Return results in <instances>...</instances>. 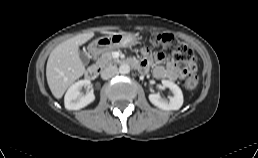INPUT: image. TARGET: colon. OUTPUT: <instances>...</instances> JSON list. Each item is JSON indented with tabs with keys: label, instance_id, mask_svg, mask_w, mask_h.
I'll use <instances>...</instances> for the list:
<instances>
[{
	"label": "colon",
	"instance_id": "5ec220e1",
	"mask_svg": "<svg viewBox=\"0 0 258 158\" xmlns=\"http://www.w3.org/2000/svg\"><path fill=\"white\" fill-rule=\"evenodd\" d=\"M148 40L155 50H167L170 52L176 63L182 67L191 66L196 61L195 54L191 47L170 35H150ZM198 82V77L194 72H187L181 77V84L188 91H195L198 87Z\"/></svg>",
	"mask_w": 258,
	"mask_h": 158
}]
</instances>
